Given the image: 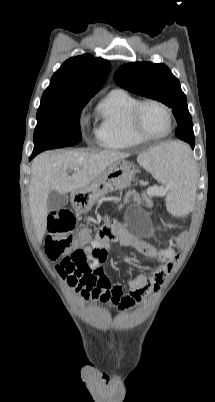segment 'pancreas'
Returning <instances> with one entry per match:
<instances>
[{
    "label": "pancreas",
    "mask_w": 215,
    "mask_h": 402,
    "mask_svg": "<svg viewBox=\"0 0 215 402\" xmlns=\"http://www.w3.org/2000/svg\"><path fill=\"white\" fill-rule=\"evenodd\" d=\"M129 195H130V193L128 192V193L126 194V196H125L124 204H127V203L129 202ZM122 206H123V205H120V206H119V209H120Z\"/></svg>",
    "instance_id": "cf45deb5"
}]
</instances>
